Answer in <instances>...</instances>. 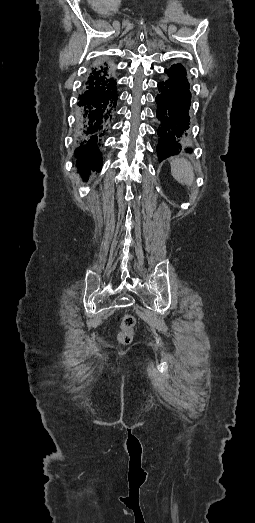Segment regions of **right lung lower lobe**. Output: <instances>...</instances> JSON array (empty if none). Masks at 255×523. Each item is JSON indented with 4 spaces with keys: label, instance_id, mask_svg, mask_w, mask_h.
<instances>
[{
    "label": "right lung lower lobe",
    "instance_id": "98d812e1",
    "mask_svg": "<svg viewBox=\"0 0 255 523\" xmlns=\"http://www.w3.org/2000/svg\"><path fill=\"white\" fill-rule=\"evenodd\" d=\"M100 106V99L96 96H93L89 99V102L87 101H82L80 102L79 104V109L80 111L82 112H87L89 111L90 107L93 108V109H96ZM84 134L86 136H91L93 134V127H92V124L90 122H87L85 124V127H84ZM83 149L84 151L86 152H91L93 151L94 149V143L93 141L91 140H86L84 141L83 143ZM79 168V170H82L79 166H77ZM102 168V165L100 167H98L96 170H93V171H97L99 172ZM91 169H88V170H83L85 173H90Z\"/></svg>",
    "mask_w": 255,
    "mask_h": 523
}]
</instances>
